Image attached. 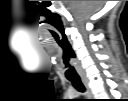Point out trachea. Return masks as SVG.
<instances>
[{"instance_id":"3493384b","label":"trachea","mask_w":128,"mask_h":101,"mask_svg":"<svg viewBox=\"0 0 128 101\" xmlns=\"http://www.w3.org/2000/svg\"><path fill=\"white\" fill-rule=\"evenodd\" d=\"M66 67V78L72 83L76 90H78L79 92H84L86 89L82 84L75 67L70 65L69 63H66Z\"/></svg>"}]
</instances>
